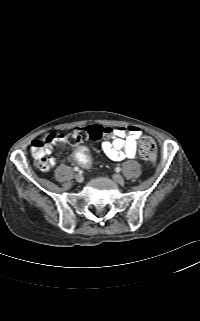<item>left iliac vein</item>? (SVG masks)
<instances>
[{"instance_id": "4c4485c4", "label": "left iliac vein", "mask_w": 200, "mask_h": 321, "mask_svg": "<svg viewBox=\"0 0 200 321\" xmlns=\"http://www.w3.org/2000/svg\"><path fill=\"white\" fill-rule=\"evenodd\" d=\"M113 179L119 184H123L124 183V178L120 174H114L113 175Z\"/></svg>"}]
</instances>
